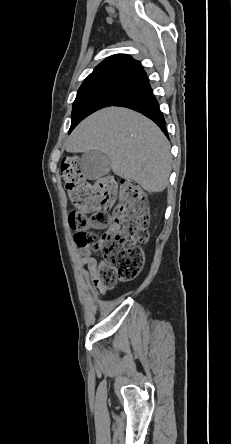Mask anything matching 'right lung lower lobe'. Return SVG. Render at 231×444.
<instances>
[{
  "label": "right lung lower lobe",
  "instance_id": "98d812e1",
  "mask_svg": "<svg viewBox=\"0 0 231 444\" xmlns=\"http://www.w3.org/2000/svg\"><path fill=\"white\" fill-rule=\"evenodd\" d=\"M111 106H123L142 113L153 120L168 137L166 122L149 83L126 93Z\"/></svg>",
  "mask_w": 231,
  "mask_h": 444
}]
</instances>
